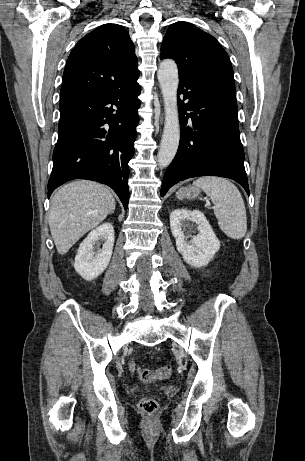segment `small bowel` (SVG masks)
Wrapping results in <instances>:
<instances>
[{"label":"small bowel","instance_id":"obj_1","mask_svg":"<svg viewBox=\"0 0 305 461\" xmlns=\"http://www.w3.org/2000/svg\"><path fill=\"white\" fill-rule=\"evenodd\" d=\"M128 368H129V371L130 372H134V369H135V362L134 360H130L129 363H128Z\"/></svg>","mask_w":305,"mask_h":461}]
</instances>
